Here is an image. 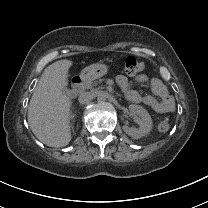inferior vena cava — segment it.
Listing matches in <instances>:
<instances>
[{"label": "inferior vena cava", "instance_id": "obj_1", "mask_svg": "<svg viewBox=\"0 0 208 208\" xmlns=\"http://www.w3.org/2000/svg\"><path fill=\"white\" fill-rule=\"evenodd\" d=\"M94 98V95L91 92L81 93L78 100L80 104H87Z\"/></svg>", "mask_w": 208, "mask_h": 208}]
</instances>
